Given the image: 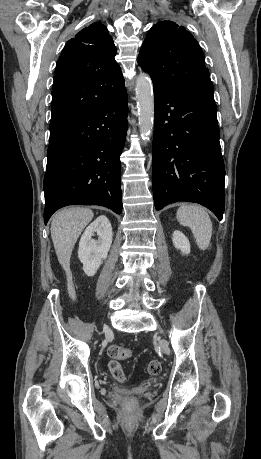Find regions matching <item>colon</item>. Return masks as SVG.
I'll list each match as a JSON object with an SVG mask.
<instances>
[{
    "mask_svg": "<svg viewBox=\"0 0 261 459\" xmlns=\"http://www.w3.org/2000/svg\"><path fill=\"white\" fill-rule=\"evenodd\" d=\"M107 354L110 358L108 362L110 373L116 380L123 382L125 380V374L119 360L129 358L131 356V350L118 345H111L107 349ZM147 369L150 375H158L162 369L161 363L158 360H152L149 362ZM128 404L133 405L134 399L130 398Z\"/></svg>",
    "mask_w": 261,
    "mask_h": 459,
    "instance_id": "5ec220e1",
    "label": "colon"
}]
</instances>
